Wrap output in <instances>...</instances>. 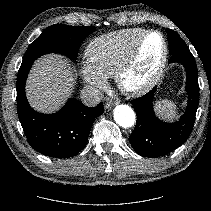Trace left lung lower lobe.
Returning <instances> with one entry per match:
<instances>
[{"instance_id":"obj_1","label":"left lung lower lobe","mask_w":211,"mask_h":211,"mask_svg":"<svg viewBox=\"0 0 211 211\" xmlns=\"http://www.w3.org/2000/svg\"><path fill=\"white\" fill-rule=\"evenodd\" d=\"M169 63H180L186 69V92L188 105L185 113L174 123L159 120L153 111L154 87L131 104L137 115L136 126L130 135L133 149L141 156L158 157L181 146L190 136L199 103L197 66L190 50H179L182 39L176 33H169Z\"/></svg>"}]
</instances>
